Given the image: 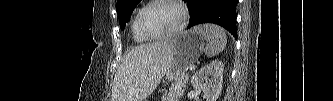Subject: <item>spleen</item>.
Instances as JSON below:
<instances>
[{
  "mask_svg": "<svg viewBox=\"0 0 333 101\" xmlns=\"http://www.w3.org/2000/svg\"><path fill=\"white\" fill-rule=\"evenodd\" d=\"M194 31L200 33L207 41L205 55L209 58L218 55L224 50L227 44V36L225 31L214 24H204L193 28Z\"/></svg>",
  "mask_w": 333,
  "mask_h": 101,
  "instance_id": "3e777b00",
  "label": "spleen"
}]
</instances>
